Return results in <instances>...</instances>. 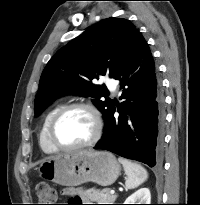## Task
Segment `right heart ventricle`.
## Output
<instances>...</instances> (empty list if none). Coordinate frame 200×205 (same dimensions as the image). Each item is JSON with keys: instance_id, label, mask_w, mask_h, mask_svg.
Wrapping results in <instances>:
<instances>
[{"instance_id": "e07e8e85", "label": "right heart ventricle", "mask_w": 200, "mask_h": 205, "mask_svg": "<svg viewBox=\"0 0 200 205\" xmlns=\"http://www.w3.org/2000/svg\"><path fill=\"white\" fill-rule=\"evenodd\" d=\"M62 107V105H55L53 108H51L43 121L41 130H40V134H39V144L40 147L42 148V150L46 153H54L57 150L52 146V144L49 141L48 138V127L50 124V121L52 119V117L54 116V114Z\"/></svg>"}]
</instances>
